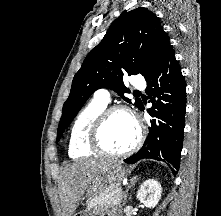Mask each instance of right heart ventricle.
<instances>
[{"label":"right heart ventricle","instance_id":"1","mask_svg":"<svg viewBox=\"0 0 221 216\" xmlns=\"http://www.w3.org/2000/svg\"><path fill=\"white\" fill-rule=\"evenodd\" d=\"M106 107L107 104L98 102L94 99L77 115L69 134L68 154L70 157L81 158L95 154L88 146V130L93 121Z\"/></svg>","mask_w":221,"mask_h":216}]
</instances>
